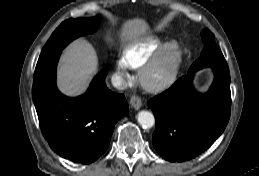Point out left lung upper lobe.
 <instances>
[{
  "mask_svg": "<svg viewBox=\"0 0 259 176\" xmlns=\"http://www.w3.org/2000/svg\"><path fill=\"white\" fill-rule=\"evenodd\" d=\"M203 43L205 44L201 56L195 61L189 69V72H196L204 67H213L228 70L226 60L215 43L214 34L208 29L201 33Z\"/></svg>",
  "mask_w": 259,
  "mask_h": 176,
  "instance_id": "left-lung-upper-lobe-1",
  "label": "left lung upper lobe"
}]
</instances>
